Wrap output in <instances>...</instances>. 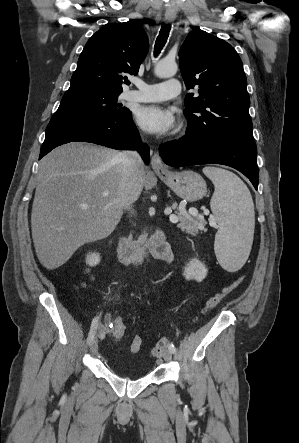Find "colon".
<instances>
[{
  "label": "colon",
  "instance_id": "5ec220e1",
  "mask_svg": "<svg viewBox=\"0 0 299 443\" xmlns=\"http://www.w3.org/2000/svg\"><path fill=\"white\" fill-rule=\"evenodd\" d=\"M241 282V278H238L229 286L225 287L220 293L213 296L207 303L205 311L214 308L224 297L228 296ZM127 331V323L124 318L118 317L111 322L109 329V335L114 339H122ZM143 340L139 334H136L130 342V351L134 354L138 353L142 348ZM170 340L168 338L160 339L154 349L153 355L160 356L161 353L169 346Z\"/></svg>",
  "mask_w": 299,
  "mask_h": 443
}]
</instances>
